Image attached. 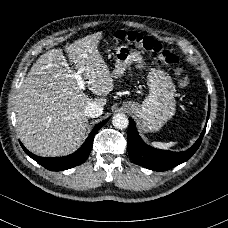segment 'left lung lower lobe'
Here are the masks:
<instances>
[{
    "mask_svg": "<svg viewBox=\"0 0 228 228\" xmlns=\"http://www.w3.org/2000/svg\"><path fill=\"white\" fill-rule=\"evenodd\" d=\"M209 114L210 100L208 106L207 120L209 118ZM206 125L200 137L191 148L182 152H171L153 148L151 146H148L145 142H143L137 132L134 121L131 118H129V128L127 132V147L129 157L137 165L143 166L154 171L169 170L187 161L190 157L193 156V154L197 151L202 142L206 130Z\"/></svg>",
    "mask_w": 228,
    "mask_h": 228,
    "instance_id": "0a47b994",
    "label": "left lung lower lobe"
}]
</instances>
